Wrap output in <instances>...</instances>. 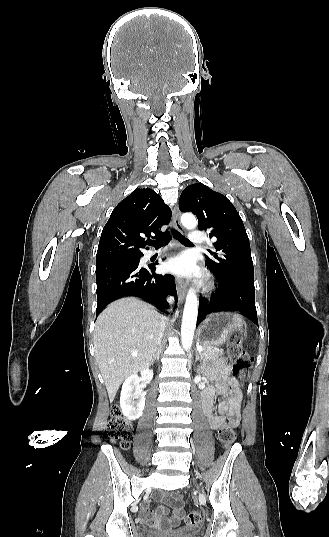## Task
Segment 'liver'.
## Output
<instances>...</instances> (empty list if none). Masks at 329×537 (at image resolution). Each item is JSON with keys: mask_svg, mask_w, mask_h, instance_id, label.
I'll list each match as a JSON object with an SVG mask.
<instances>
[{"mask_svg": "<svg viewBox=\"0 0 329 537\" xmlns=\"http://www.w3.org/2000/svg\"><path fill=\"white\" fill-rule=\"evenodd\" d=\"M160 323L161 315L134 297L111 303L98 316L94 330L95 357L111 402L124 379L151 365Z\"/></svg>", "mask_w": 329, "mask_h": 537, "instance_id": "liver-1", "label": "liver"}]
</instances>
